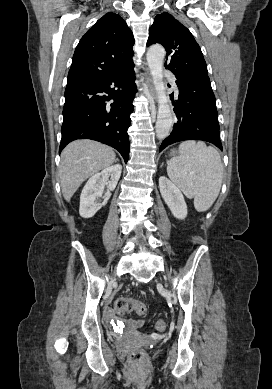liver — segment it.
I'll return each instance as SVG.
<instances>
[{"label":"liver","instance_id":"obj_1","mask_svg":"<svg viewBox=\"0 0 272 389\" xmlns=\"http://www.w3.org/2000/svg\"><path fill=\"white\" fill-rule=\"evenodd\" d=\"M61 157V189L64 199L70 201L79 186L90 176L111 166L116 155L107 145L85 139L70 143Z\"/></svg>","mask_w":272,"mask_h":389}]
</instances>
